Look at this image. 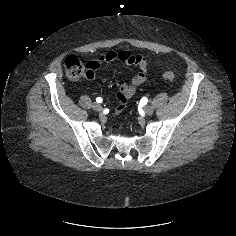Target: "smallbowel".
Listing matches in <instances>:
<instances>
[{"mask_svg": "<svg viewBox=\"0 0 236 236\" xmlns=\"http://www.w3.org/2000/svg\"><path fill=\"white\" fill-rule=\"evenodd\" d=\"M116 60L122 61L129 66H134L138 68L140 71L135 74L130 82L127 84L123 81H118L116 83L117 86V103L114 108L115 114H120L125 108V102L127 99L131 98L136 89L144 84L147 80V62L143 55L133 54L130 51L122 50V51H108L104 53L100 58L96 60L88 61L86 64L88 68L92 71L93 75L91 78L95 76V73L105 65H108ZM119 96L124 98V102H119Z\"/></svg>", "mask_w": 236, "mask_h": 236, "instance_id": "obj_1", "label": "small bowel"}]
</instances>
